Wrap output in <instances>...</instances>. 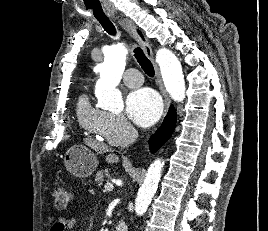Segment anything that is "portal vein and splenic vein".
<instances>
[{"label":"portal vein and splenic vein","mask_w":268,"mask_h":231,"mask_svg":"<svg viewBox=\"0 0 268 231\" xmlns=\"http://www.w3.org/2000/svg\"><path fill=\"white\" fill-rule=\"evenodd\" d=\"M104 188H105L106 191L110 192V191L113 190V184L110 183V182H107V183L105 184Z\"/></svg>","instance_id":"1"}]
</instances>
